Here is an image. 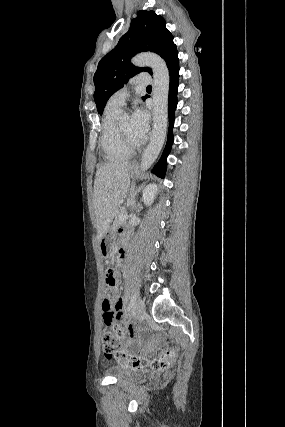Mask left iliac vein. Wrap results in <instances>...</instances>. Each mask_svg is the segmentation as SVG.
Returning a JSON list of instances; mask_svg holds the SVG:
<instances>
[{
  "label": "left iliac vein",
  "mask_w": 285,
  "mask_h": 427,
  "mask_svg": "<svg viewBox=\"0 0 285 427\" xmlns=\"http://www.w3.org/2000/svg\"><path fill=\"white\" fill-rule=\"evenodd\" d=\"M146 310L145 303L142 299H138L134 308V315L136 318H140L144 315Z\"/></svg>",
  "instance_id": "4c4485c4"
}]
</instances>
